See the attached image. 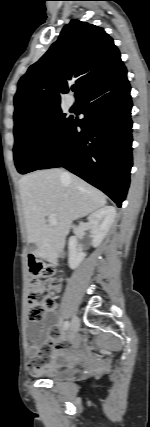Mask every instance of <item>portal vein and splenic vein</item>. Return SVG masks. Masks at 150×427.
Instances as JSON below:
<instances>
[{
	"instance_id": "portal-vein-and-splenic-vein-1",
	"label": "portal vein and splenic vein",
	"mask_w": 150,
	"mask_h": 427,
	"mask_svg": "<svg viewBox=\"0 0 150 427\" xmlns=\"http://www.w3.org/2000/svg\"><path fill=\"white\" fill-rule=\"evenodd\" d=\"M48 221H49L50 225H56L57 224V219H56L54 214H50L48 216Z\"/></svg>"
}]
</instances>
